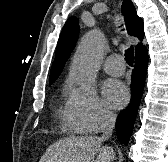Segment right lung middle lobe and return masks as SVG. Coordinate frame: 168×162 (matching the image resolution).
I'll return each mask as SVG.
<instances>
[{"label": "right lung middle lobe", "instance_id": "dd1d6c3e", "mask_svg": "<svg viewBox=\"0 0 168 162\" xmlns=\"http://www.w3.org/2000/svg\"><path fill=\"white\" fill-rule=\"evenodd\" d=\"M53 82H49V85H51Z\"/></svg>", "mask_w": 168, "mask_h": 162}]
</instances>
